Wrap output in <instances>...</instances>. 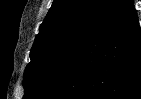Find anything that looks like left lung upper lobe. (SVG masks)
<instances>
[{"instance_id": "5c2ea615", "label": "left lung upper lobe", "mask_w": 141, "mask_h": 99, "mask_svg": "<svg viewBox=\"0 0 141 99\" xmlns=\"http://www.w3.org/2000/svg\"><path fill=\"white\" fill-rule=\"evenodd\" d=\"M122 0H54L24 73L23 99H38Z\"/></svg>"}]
</instances>
